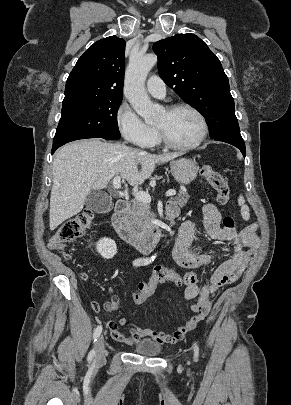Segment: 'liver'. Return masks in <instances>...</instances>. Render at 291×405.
I'll return each instance as SVG.
<instances>
[{
	"label": "liver",
	"mask_w": 291,
	"mask_h": 405,
	"mask_svg": "<svg viewBox=\"0 0 291 405\" xmlns=\"http://www.w3.org/2000/svg\"><path fill=\"white\" fill-rule=\"evenodd\" d=\"M178 156L173 153L148 154L124 144L98 139L64 145L56 154L52 166L50 230L81 212L90 192L106 188L115 175L121 176L130 185L142 184L151 176L156 164Z\"/></svg>",
	"instance_id": "liver-1"
}]
</instances>
